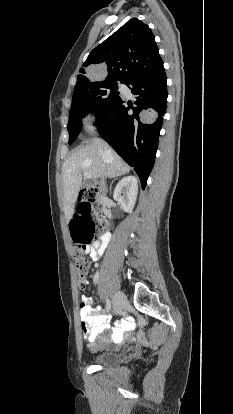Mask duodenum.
<instances>
[{"label":"duodenum","mask_w":233,"mask_h":414,"mask_svg":"<svg viewBox=\"0 0 233 414\" xmlns=\"http://www.w3.org/2000/svg\"><path fill=\"white\" fill-rule=\"evenodd\" d=\"M82 192H87V187H82ZM95 198L94 197H87L86 195H81L79 197V200L77 201V206L78 207H83L85 204L89 203V204H94L95 203Z\"/></svg>","instance_id":"1"}]
</instances>
